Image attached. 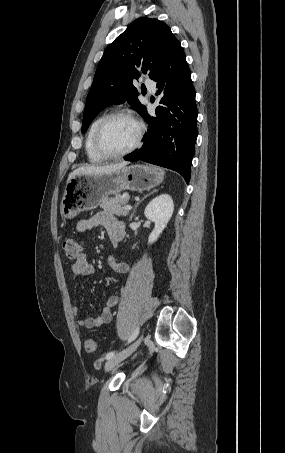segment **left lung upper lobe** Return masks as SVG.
<instances>
[{
    "label": "left lung upper lobe",
    "mask_w": 285,
    "mask_h": 453,
    "mask_svg": "<svg viewBox=\"0 0 285 453\" xmlns=\"http://www.w3.org/2000/svg\"><path fill=\"white\" fill-rule=\"evenodd\" d=\"M180 44L168 25L157 19L138 18L110 44L95 72L87 95L82 133L105 107L127 101L138 113L146 109L133 84L141 74L153 79L170 52Z\"/></svg>",
    "instance_id": "5c2ea615"
}]
</instances>
